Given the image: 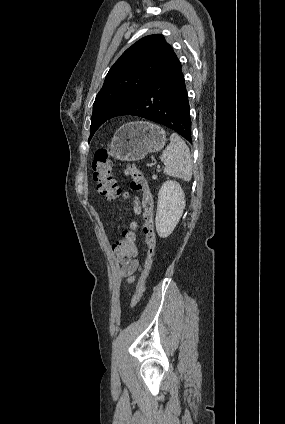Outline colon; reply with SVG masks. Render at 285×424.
I'll list each match as a JSON object with an SVG mask.
<instances>
[{
    "label": "colon",
    "instance_id": "5ec220e1",
    "mask_svg": "<svg viewBox=\"0 0 285 424\" xmlns=\"http://www.w3.org/2000/svg\"><path fill=\"white\" fill-rule=\"evenodd\" d=\"M118 163L110 158L107 149L100 148L95 152L92 162L93 180L99 194L108 200H117L126 197L127 192L122 190L112 177V170ZM122 172L131 178V190L142 194V203L145 210L143 232L147 244V252L142 273L139 277L137 290L131 301L135 307L142 299L145 284L155 255V232L153 226L154 201L145 175L131 163L121 165ZM135 238L132 233L126 232L123 238L112 245L113 253L119 260H128L135 254Z\"/></svg>",
    "mask_w": 285,
    "mask_h": 424
}]
</instances>
